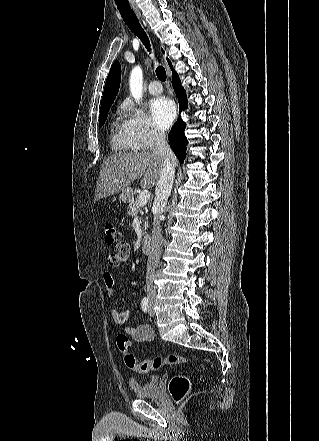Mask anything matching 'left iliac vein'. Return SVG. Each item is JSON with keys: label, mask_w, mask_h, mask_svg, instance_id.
<instances>
[{"label": "left iliac vein", "mask_w": 319, "mask_h": 441, "mask_svg": "<svg viewBox=\"0 0 319 441\" xmlns=\"http://www.w3.org/2000/svg\"><path fill=\"white\" fill-rule=\"evenodd\" d=\"M153 304H154L153 301H150V307H149V310H148V313H149L150 316L154 315Z\"/></svg>", "instance_id": "1"}]
</instances>
